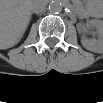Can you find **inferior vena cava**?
Here are the masks:
<instances>
[{
	"label": "inferior vena cava",
	"mask_w": 103,
	"mask_h": 103,
	"mask_svg": "<svg viewBox=\"0 0 103 103\" xmlns=\"http://www.w3.org/2000/svg\"><path fill=\"white\" fill-rule=\"evenodd\" d=\"M46 3L42 0H35L32 3L31 9L34 13H42L45 10Z\"/></svg>",
	"instance_id": "inferior-vena-cava-1"
}]
</instances>
